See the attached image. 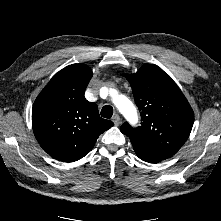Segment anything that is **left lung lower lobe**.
<instances>
[{
    "label": "left lung lower lobe",
    "instance_id": "left-lung-lower-lobe-1",
    "mask_svg": "<svg viewBox=\"0 0 221 221\" xmlns=\"http://www.w3.org/2000/svg\"><path fill=\"white\" fill-rule=\"evenodd\" d=\"M133 148L137 154V156L142 159L143 161L149 162V163H158L162 160H165L166 158H163L157 154H154L147 149H145L143 146L132 142Z\"/></svg>",
    "mask_w": 221,
    "mask_h": 221
}]
</instances>
